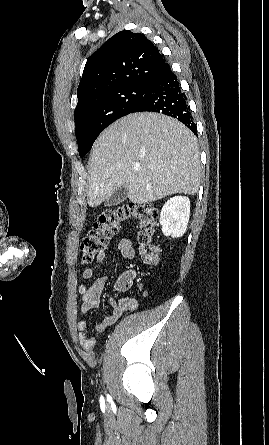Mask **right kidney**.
<instances>
[{
	"label": "right kidney",
	"mask_w": 269,
	"mask_h": 445,
	"mask_svg": "<svg viewBox=\"0 0 269 445\" xmlns=\"http://www.w3.org/2000/svg\"><path fill=\"white\" fill-rule=\"evenodd\" d=\"M190 217V200L188 197L175 196L163 206L160 224L165 236L181 237L187 229Z\"/></svg>",
	"instance_id": "ca27d5eb"
}]
</instances>
